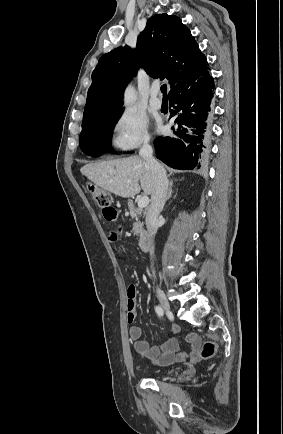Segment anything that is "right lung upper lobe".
Here are the masks:
<instances>
[{
	"label": "right lung upper lobe",
	"instance_id": "1",
	"mask_svg": "<svg viewBox=\"0 0 283 434\" xmlns=\"http://www.w3.org/2000/svg\"><path fill=\"white\" fill-rule=\"evenodd\" d=\"M139 67L154 78L169 80L170 97L210 78L206 57L181 19L156 14L138 36L135 50L120 46L100 58L92 73L82 128L122 112V93Z\"/></svg>",
	"mask_w": 283,
	"mask_h": 434
}]
</instances>
